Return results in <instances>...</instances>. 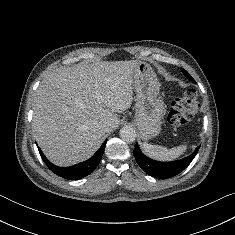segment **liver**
<instances>
[{
	"label": "liver",
	"instance_id": "6515ba94",
	"mask_svg": "<svg viewBox=\"0 0 235 235\" xmlns=\"http://www.w3.org/2000/svg\"><path fill=\"white\" fill-rule=\"evenodd\" d=\"M141 61H96L48 74L35 92L32 128L46 157L71 166L90 158L130 108ZM106 125V129L102 126Z\"/></svg>",
	"mask_w": 235,
	"mask_h": 235
}]
</instances>
